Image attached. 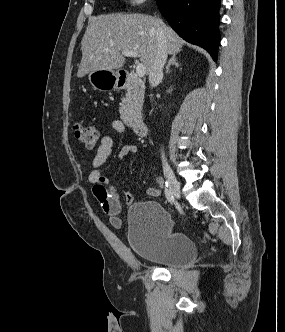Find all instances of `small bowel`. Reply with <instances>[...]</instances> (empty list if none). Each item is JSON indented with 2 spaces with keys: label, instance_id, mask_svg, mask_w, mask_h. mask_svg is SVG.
<instances>
[{
  "label": "small bowel",
  "instance_id": "obj_1",
  "mask_svg": "<svg viewBox=\"0 0 285 332\" xmlns=\"http://www.w3.org/2000/svg\"><path fill=\"white\" fill-rule=\"evenodd\" d=\"M112 129L118 134L126 132V125L121 120H113L111 123ZM113 139L110 135L105 134L101 137L100 144L97 148L95 156L92 160L91 171L89 174V182L93 185L92 193L98 201L103 211L109 216L112 226L121 227V219L119 214L122 210L123 202L120 191L116 187L108 188L109 179L102 174V167L112 153ZM138 148L134 144L124 145L119 153L120 159L128 155L136 154ZM157 186H153L146 190V195L149 197H157L161 193L162 179L157 178ZM124 202L130 206L134 201V196L129 191H122Z\"/></svg>",
  "mask_w": 285,
  "mask_h": 332
}]
</instances>
